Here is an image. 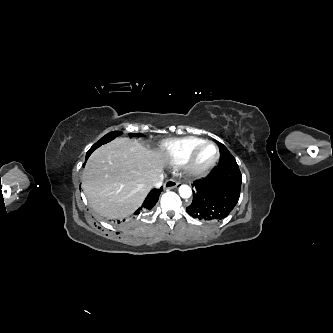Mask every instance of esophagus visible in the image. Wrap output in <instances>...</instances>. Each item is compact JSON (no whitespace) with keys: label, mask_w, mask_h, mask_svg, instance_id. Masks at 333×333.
<instances>
[{"label":"esophagus","mask_w":333,"mask_h":333,"mask_svg":"<svg viewBox=\"0 0 333 333\" xmlns=\"http://www.w3.org/2000/svg\"><path fill=\"white\" fill-rule=\"evenodd\" d=\"M178 185H180V182H178L174 179H169L165 182L164 188L165 189H173V188L177 187Z\"/></svg>","instance_id":"esophagus-1"}]
</instances>
